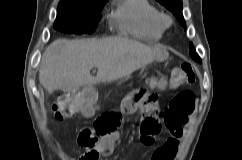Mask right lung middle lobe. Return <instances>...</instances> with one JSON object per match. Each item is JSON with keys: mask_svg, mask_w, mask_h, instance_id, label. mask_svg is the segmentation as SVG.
Listing matches in <instances>:
<instances>
[{"mask_svg": "<svg viewBox=\"0 0 242 160\" xmlns=\"http://www.w3.org/2000/svg\"><path fill=\"white\" fill-rule=\"evenodd\" d=\"M107 1H61L58 5L54 28L61 32L73 34L94 32L100 19V11Z\"/></svg>", "mask_w": 242, "mask_h": 160, "instance_id": "obj_1", "label": "right lung middle lobe"}]
</instances>
